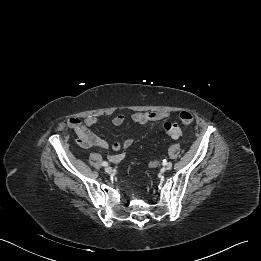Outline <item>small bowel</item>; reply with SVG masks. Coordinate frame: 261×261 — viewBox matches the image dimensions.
Returning <instances> with one entry per match:
<instances>
[{"label": "small bowel", "mask_w": 261, "mask_h": 261, "mask_svg": "<svg viewBox=\"0 0 261 261\" xmlns=\"http://www.w3.org/2000/svg\"><path fill=\"white\" fill-rule=\"evenodd\" d=\"M170 116L169 112L166 111H150V112H141L137 111L131 115V119L135 123H139L141 125H149L152 122H157L164 120ZM180 121L183 125H189L194 117L193 114L189 111H182L179 114ZM126 116L123 114H117L113 117L112 123L115 126H121L125 123ZM98 122V118L96 116H88L83 121L79 118H70L68 120V126L77 134L78 143L82 147H99V148H107L108 143L103 138L97 136L93 133L89 127L96 124ZM133 143L132 138H127L120 142H114L112 144V149L114 151H120L122 148H129ZM122 158L121 155L111 156V160L119 161Z\"/></svg>", "instance_id": "small-bowel-1"}]
</instances>
